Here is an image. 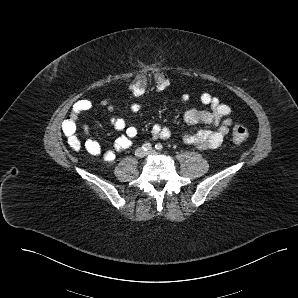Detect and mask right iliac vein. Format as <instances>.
Listing matches in <instances>:
<instances>
[{
    "label": "right iliac vein",
    "mask_w": 298,
    "mask_h": 298,
    "mask_svg": "<svg viewBox=\"0 0 298 298\" xmlns=\"http://www.w3.org/2000/svg\"><path fill=\"white\" fill-rule=\"evenodd\" d=\"M145 154H146V153H145V151H144L142 148L137 149L136 152H135V155H136L137 157H139V158L144 157Z\"/></svg>",
    "instance_id": "63e3f726"
}]
</instances>
